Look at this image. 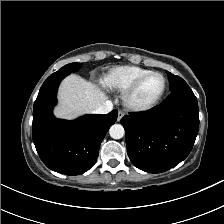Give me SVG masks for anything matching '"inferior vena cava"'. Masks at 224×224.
<instances>
[{
  "label": "inferior vena cava",
  "mask_w": 224,
  "mask_h": 224,
  "mask_svg": "<svg viewBox=\"0 0 224 224\" xmlns=\"http://www.w3.org/2000/svg\"><path fill=\"white\" fill-rule=\"evenodd\" d=\"M112 108H113L112 102L111 101H105L96 110H94V113H96V114H107L112 110Z\"/></svg>",
  "instance_id": "1"
}]
</instances>
